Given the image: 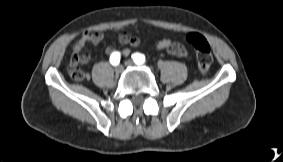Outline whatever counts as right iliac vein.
<instances>
[{"instance_id": "obj_1", "label": "right iliac vein", "mask_w": 283, "mask_h": 162, "mask_svg": "<svg viewBox=\"0 0 283 162\" xmlns=\"http://www.w3.org/2000/svg\"><path fill=\"white\" fill-rule=\"evenodd\" d=\"M122 71H123V66L122 65H119V66L115 67V72L117 74H120Z\"/></svg>"}]
</instances>
